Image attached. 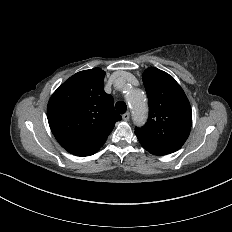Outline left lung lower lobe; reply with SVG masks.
Instances as JSON below:
<instances>
[{
	"instance_id": "left-lung-lower-lobe-1",
	"label": "left lung lower lobe",
	"mask_w": 232,
	"mask_h": 232,
	"mask_svg": "<svg viewBox=\"0 0 232 232\" xmlns=\"http://www.w3.org/2000/svg\"><path fill=\"white\" fill-rule=\"evenodd\" d=\"M148 152L154 155H166L170 154L173 151L163 148V147H157V146H143Z\"/></svg>"
}]
</instances>
